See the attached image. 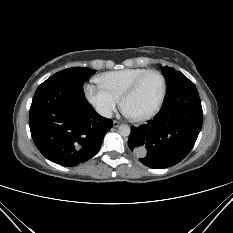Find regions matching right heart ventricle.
Instances as JSON below:
<instances>
[{
	"label": "right heart ventricle",
	"mask_w": 233,
	"mask_h": 233,
	"mask_svg": "<svg viewBox=\"0 0 233 233\" xmlns=\"http://www.w3.org/2000/svg\"><path fill=\"white\" fill-rule=\"evenodd\" d=\"M148 70V68H126L105 72L99 75L96 81L119 99L136 78Z\"/></svg>",
	"instance_id": "e07e8e85"
}]
</instances>
